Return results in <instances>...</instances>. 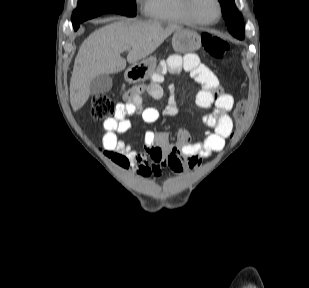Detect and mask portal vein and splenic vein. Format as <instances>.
Instances as JSON below:
<instances>
[{
  "instance_id": "portal-vein-and-splenic-vein-1",
  "label": "portal vein and splenic vein",
  "mask_w": 309,
  "mask_h": 288,
  "mask_svg": "<svg viewBox=\"0 0 309 288\" xmlns=\"http://www.w3.org/2000/svg\"><path fill=\"white\" fill-rule=\"evenodd\" d=\"M127 49H128V48H123L122 51H125V50H127Z\"/></svg>"
}]
</instances>
